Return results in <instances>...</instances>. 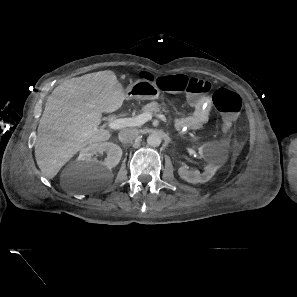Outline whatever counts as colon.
Listing matches in <instances>:
<instances>
[{
	"label": "colon",
	"instance_id": "colon-1",
	"mask_svg": "<svg viewBox=\"0 0 297 297\" xmlns=\"http://www.w3.org/2000/svg\"><path fill=\"white\" fill-rule=\"evenodd\" d=\"M144 76L149 78L147 74H144ZM156 85L163 91L185 93L195 101L206 97L211 91V84L207 80L191 78L185 75L158 77ZM213 104L221 115V130L226 133L241 112L243 101L235 92L220 88L213 95Z\"/></svg>",
	"mask_w": 297,
	"mask_h": 297
}]
</instances>
